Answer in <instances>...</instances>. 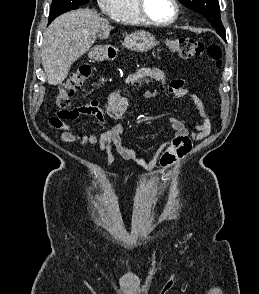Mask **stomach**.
<instances>
[{
	"label": "stomach",
	"mask_w": 259,
	"mask_h": 294,
	"mask_svg": "<svg viewBox=\"0 0 259 294\" xmlns=\"http://www.w3.org/2000/svg\"><path fill=\"white\" fill-rule=\"evenodd\" d=\"M158 45V41L155 36L149 32L140 31L127 35L124 39V46L136 52H147ZM90 56L93 58H101L102 55L95 49L91 51Z\"/></svg>",
	"instance_id": "obj_1"
}]
</instances>
